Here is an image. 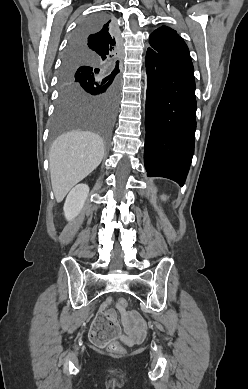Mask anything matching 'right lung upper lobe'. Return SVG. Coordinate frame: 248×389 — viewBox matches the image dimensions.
I'll use <instances>...</instances> for the list:
<instances>
[{"mask_svg": "<svg viewBox=\"0 0 248 389\" xmlns=\"http://www.w3.org/2000/svg\"><path fill=\"white\" fill-rule=\"evenodd\" d=\"M75 49L89 59L108 66L113 74L119 73L120 42L113 34L110 21L81 38Z\"/></svg>", "mask_w": 248, "mask_h": 389, "instance_id": "obj_1", "label": "right lung upper lobe"}]
</instances>
